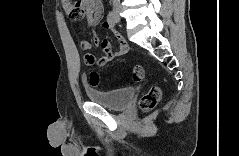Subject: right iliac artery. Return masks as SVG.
Here are the masks:
<instances>
[{"mask_svg":"<svg viewBox=\"0 0 239 156\" xmlns=\"http://www.w3.org/2000/svg\"><path fill=\"white\" fill-rule=\"evenodd\" d=\"M107 20L112 27H114L117 23L116 17L113 12H109Z\"/></svg>","mask_w":239,"mask_h":156,"instance_id":"obj_1","label":"right iliac artery"}]
</instances>
